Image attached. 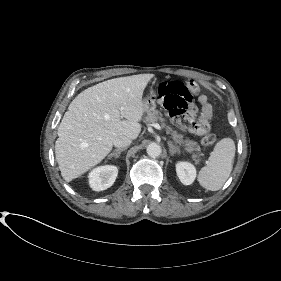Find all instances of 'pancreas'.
I'll return each instance as SVG.
<instances>
[{"label": "pancreas", "instance_id": "cf45deb5", "mask_svg": "<svg viewBox=\"0 0 281 281\" xmlns=\"http://www.w3.org/2000/svg\"><path fill=\"white\" fill-rule=\"evenodd\" d=\"M144 122L148 124L159 122L163 127L166 128L167 133L172 135V139L175 143L183 145L185 147V151L192 153V158L196 163H199L202 160L203 154L200 153L201 149L198 143L190 139L184 140L183 135L179 134L176 130H173L171 126L165 123V118L161 112L157 110L148 112L144 118Z\"/></svg>", "mask_w": 281, "mask_h": 281}]
</instances>
